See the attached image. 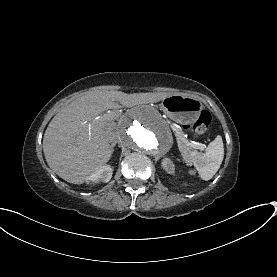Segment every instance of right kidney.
Wrapping results in <instances>:
<instances>
[{"instance_id": "ca27d5eb", "label": "right kidney", "mask_w": 277, "mask_h": 277, "mask_svg": "<svg viewBox=\"0 0 277 277\" xmlns=\"http://www.w3.org/2000/svg\"><path fill=\"white\" fill-rule=\"evenodd\" d=\"M113 169L110 165H102L96 168V170L86 177V184H96L99 182H109L112 178Z\"/></svg>"}]
</instances>
